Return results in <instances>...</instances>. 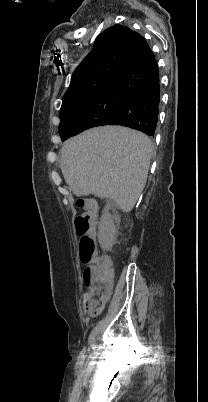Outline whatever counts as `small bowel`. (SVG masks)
<instances>
[{
	"label": "small bowel",
	"instance_id": "obj_1",
	"mask_svg": "<svg viewBox=\"0 0 208 402\" xmlns=\"http://www.w3.org/2000/svg\"><path fill=\"white\" fill-rule=\"evenodd\" d=\"M84 273H87L86 270L84 271ZM94 296L104 301V303H107L111 298V295H94Z\"/></svg>",
	"mask_w": 208,
	"mask_h": 402
}]
</instances>
